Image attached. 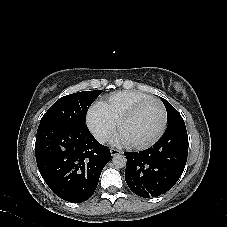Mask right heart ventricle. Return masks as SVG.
<instances>
[{
  "instance_id": "e07e8e85",
  "label": "right heart ventricle",
  "mask_w": 227,
  "mask_h": 227,
  "mask_svg": "<svg viewBox=\"0 0 227 227\" xmlns=\"http://www.w3.org/2000/svg\"><path fill=\"white\" fill-rule=\"evenodd\" d=\"M149 97L148 94L140 91L124 90L113 93L98 102V105L103 113L116 124L123 114Z\"/></svg>"
}]
</instances>
